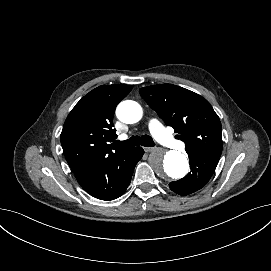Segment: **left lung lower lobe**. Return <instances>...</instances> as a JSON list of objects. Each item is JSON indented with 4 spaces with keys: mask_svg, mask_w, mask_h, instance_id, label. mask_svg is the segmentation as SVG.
I'll list each match as a JSON object with an SVG mask.
<instances>
[{
    "mask_svg": "<svg viewBox=\"0 0 271 271\" xmlns=\"http://www.w3.org/2000/svg\"><path fill=\"white\" fill-rule=\"evenodd\" d=\"M191 171L182 179L169 183L170 189L180 195L192 194L203 188L212 177L220 156L209 151L187 152Z\"/></svg>",
    "mask_w": 271,
    "mask_h": 271,
    "instance_id": "1",
    "label": "left lung lower lobe"
}]
</instances>
